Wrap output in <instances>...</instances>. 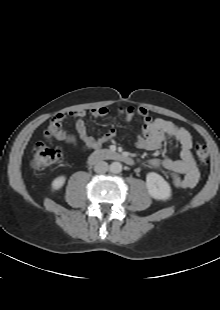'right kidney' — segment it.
<instances>
[{
	"instance_id": "ca27d5eb",
	"label": "right kidney",
	"mask_w": 220,
	"mask_h": 310,
	"mask_svg": "<svg viewBox=\"0 0 220 310\" xmlns=\"http://www.w3.org/2000/svg\"><path fill=\"white\" fill-rule=\"evenodd\" d=\"M66 181L65 176H58L56 177L51 184L52 191L59 190L63 187L64 183Z\"/></svg>"
}]
</instances>
